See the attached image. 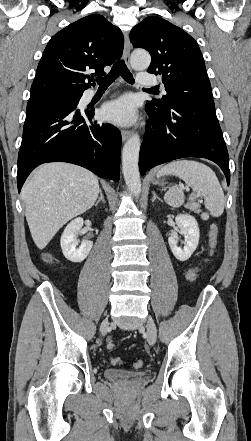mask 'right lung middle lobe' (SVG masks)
I'll use <instances>...</instances> for the list:
<instances>
[{
  "mask_svg": "<svg viewBox=\"0 0 251 441\" xmlns=\"http://www.w3.org/2000/svg\"><path fill=\"white\" fill-rule=\"evenodd\" d=\"M79 97L80 95H64V94H60V95H54L49 97V99L55 100V101H62V102H67V101H74V102H78L79 101Z\"/></svg>",
  "mask_w": 251,
  "mask_h": 441,
  "instance_id": "right-lung-middle-lobe-1",
  "label": "right lung middle lobe"
}]
</instances>
